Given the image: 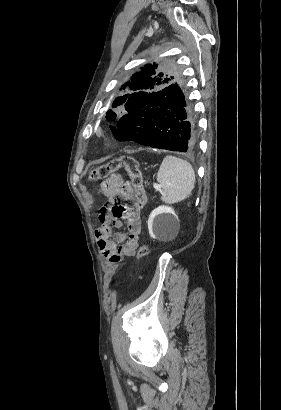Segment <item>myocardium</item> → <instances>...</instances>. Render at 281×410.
Listing matches in <instances>:
<instances>
[{
    "instance_id": "f54148a6",
    "label": "myocardium",
    "mask_w": 281,
    "mask_h": 410,
    "mask_svg": "<svg viewBox=\"0 0 281 410\" xmlns=\"http://www.w3.org/2000/svg\"><path fill=\"white\" fill-rule=\"evenodd\" d=\"M105 143H106L107 146L112 145V141H111V140H106Z\"/></svg>"
}]
</instances>
